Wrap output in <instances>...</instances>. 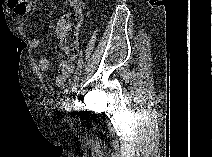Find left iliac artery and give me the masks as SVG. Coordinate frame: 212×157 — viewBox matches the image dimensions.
<instances>
[{
    "label": "left iliac artery",
    "instance_id": "44dca946",
    "mask_svg": "<svg viewBox=\"0 0 212 157\" xmlns=\"http://www.w3.org/2000/svg\"><path fill=\"white\" fill-rule=\"evenodd\" d=\"M76 89V86H72L71 88H67L64 90V99H68V95L71 93V91H74Z\"/></svg>",
    "mask_w": 212,
    "mask_h": 157
}]
</instances>
